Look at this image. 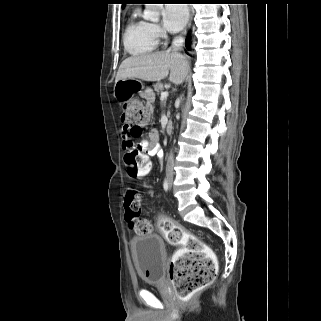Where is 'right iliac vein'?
<instances>
[{
  "instance_id": "1",
  "label": "right iliac vein",
  "mask_w": 321,
  "mask_h": 321,
  "mask_svg": "<svg viewBox=\"0 0 321 321\" xmlns=\"http://www.w3.org/2000/svg\"><path fill=\"white\" fill-rule=\"evenodd\" d=\"M168 181H169V184H172L173 176L170 174L168 175Z\"/></svg>"
}]
</instances>
